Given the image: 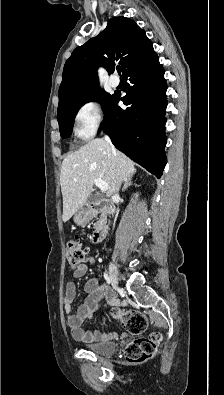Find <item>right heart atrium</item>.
Masks as SVG:
<instances>
[{
    "mask_svg": "<svg viewBox=\"0 0 224 395\" xmlns=\"http://www.w3.org/2000/svg\"><path fill=\"white\" fill-rule=\"evenodd\" d=\"M104 122L102 106L97 100L82 102L74 115L75 133L81 139L93 137Z\"/></svg>",
    "mask_w": 224,
    "mask_h": 395,
    "instance_id": "d8ad5b80",
    "label": "right heart atrium"
}]
</instances>
